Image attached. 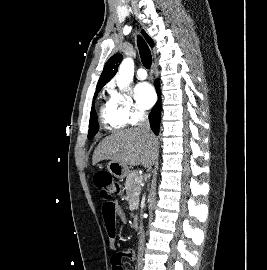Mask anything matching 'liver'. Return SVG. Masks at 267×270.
Masks as SVG:
<instances>
[{"label":"liver","mask_w":267,"mask_h":270,"mask_svg":"<svg viewBox=\"0 0 267 270\" xmlns=\"http://www.w3.org/2000/svg\"><path fill=\"white\" fill-rule=\"evenodd\" d=\"M158 154V140L155 135L140 127L120 130L105 137L97 146L92 164L111 160L125 166L142 165L151 167Z\"/></svg>","instance_id":"liver-1"}]
</instances>
